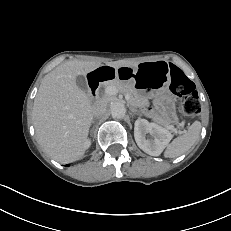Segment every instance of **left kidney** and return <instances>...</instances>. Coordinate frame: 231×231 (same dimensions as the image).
Listing matches in <instances>:
<instances>
[{
    "instance_id": "left-kidney-1",
    "label": "left kidney",
    "mask_w": 231,
    "mask_h": 231,
    "mask_svg": "<svg viewBox=\"0 0 231 231\" xmlns=\"http://www.w3.org/2000/svg\"><path fill=\"white\" fill-rule=\"evenodd\" d=\"M148 133L153 137L152 139H147ZM134 137L140 149L151 156H159L170 142L172 135L156 123H149L146 119H137Z\"/></svg>"
}]
</instances>
